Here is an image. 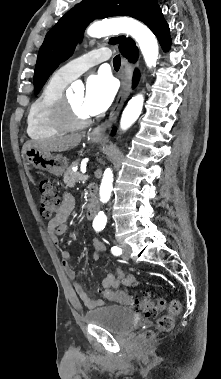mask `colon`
<instances>
[{
	"label": "colon",
	"instance_id": "1",
	"mask_svg": "<svg viewBox=\"0 0 221 379\" xmlns=\"http://www.w3.org/2000/svg\"><path fill=\"white\" fill-rule=\"evenodd\" d=\"M59 197L55 191L53 183L43 178L40 182V214L44 219H52L59 209ZM107 299L134 307L143 311L147 316H157L165 309V301L161 298H152L148 293L140 298H134L123 291L104 290ZM181 311V304L178 300H172L167 308V313L159 317L156 321L155 331H145L142 339L145 341L154 338L155 333H165L170 331L174 325V317Z\"/></svg>",
	"mask_w": 221,
	"mask_h": 379
}]
</instances>
